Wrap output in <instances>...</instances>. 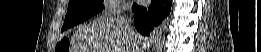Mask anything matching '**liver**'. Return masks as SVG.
Masks as SVG:
<instances>
[{
  "label": "liver",
  "mask_w": 261,
  "mask_h": 52,
  "mask_svg": "<svg viewBox=\"0 0 261 52\" xmlns=\"http://www.w3.org/2000/svg\"><path fill=\"white\" fill-rule=\"evenodd\" d=\"M139 35L132 40L119 17H101L80 26L72 37L74 52H133Z\"/></svg>",
  "instance_id": "obj_1"
}]
</instances>
